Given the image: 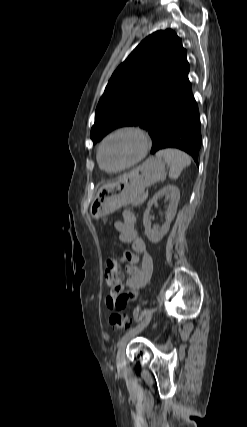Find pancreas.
I'll return each mask as SVG.
<instances>
[{
	"mask_svg": "<svg viewBox=\"0 0 247 427\" xmlns=\"http://www.w3.org/2000/svg\"><path fill=\"white\" fill-rule=\"evenodd\" d=\"M147 198V193L143 194L139 199H137L136 201L133 202L134 206H139L140 204H142Z\"/></svg>",
	"mask_w": 247,
	"mask_h": 427,
	"instance_id": "cf45deb5",
	"label": "pancreas"
}]
</instances>
